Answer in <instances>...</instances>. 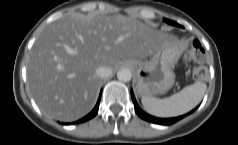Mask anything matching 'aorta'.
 <instances>
[{
    "label": "aorta",
    "instance_id": "1",
    "mask_svg": "<svg viewBox=\"0 0 238 145\" xmlns=\"http://www.w3.org/2000/svg\"><path fill=\"white\" fill-rule=\"evenodd\" d=\"M117 78L120 81L129 82L132 78V72H131V70H129L127 68H122V69L118 70Z\"/></svg>",
    "mask_w": 238,
    "mask_h": 145
}]
</instances>
